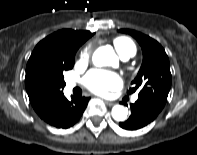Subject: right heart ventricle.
<instances>
[{"label": "right heart ventricle", "instance_id": "right-heart-ventricle-1", "mask_svg": "<svg viewBox=\"0 0 197 155\" xmlns=\"http://www.w3.org/2000/svg\"><path fill=\"white\" fill-rule=\"evenodd\" d=\"M114 46L117 52L123 57L128 56L132 57L136 53L135 44L128 38L118 37L114 39Z\"/></svg>", "mask_w": 197, "mask_h": 155}]
</instances>
